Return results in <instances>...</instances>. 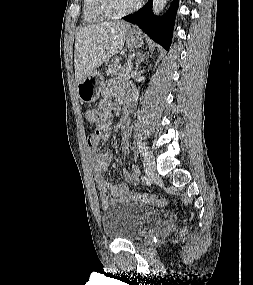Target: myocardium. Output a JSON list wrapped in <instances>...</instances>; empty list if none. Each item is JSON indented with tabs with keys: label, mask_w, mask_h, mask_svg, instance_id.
<instances>
[{
	"label": "myocardium",
	"mask_w": 253,
	"mask_h": 285,
	"mask_svg": "<svg viewBox=\"0 0 253 285\" xmlns=\"http://www.w3.org/2000/svg\"><path fill=\"white\" fill-rule=\"evenodd\" d=\"M142 0H137L131 7L125 10H118L113 6L112 0H95L97 10L111 19L121 18L136 11Z\"/></svg>",
	"instance_id": "1"
}]
</instances>
